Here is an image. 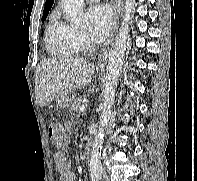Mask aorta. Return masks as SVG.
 Returning <instances> with one entry per match:
<instances>
[{
    "mask_svg": "<svg viewBox=\"0 0 197 181\" xmlns=\"http://www.w3.org/2000/svg\"><path fill=\"white\" fill-rule=\"evenodd\" d=\"M135 0H125L124 15L119 34L109 56L104 88L102 91L103 99L101 104L100 127L94 138L92 152L90 157V169L96 179L100 181L103 174L101 163V151L104 141V130L108 125L112 113V107L115 100V92L118 79L122 70L123 60L128 44L129 24L132 16V9ZM65 14L70 21L76 24L83 22L84 0H62Z\"/></svg>",
    "mask_w": 197,
    "mask_h": 181,
    "instance_id": "1",
    "label": "aorta"
}]
</instances>
